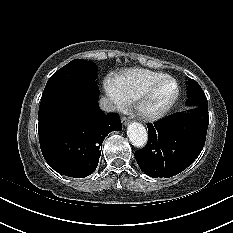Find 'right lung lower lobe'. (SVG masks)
<instances>
[{"instance_id":"1","label":"right lung lower lobe","mask_w":233,"mask_h":233,"mask_svg":"<svg viewBox=\"0 0 233 233\" xmlns=\"http://www.w3.org/2000/svg\"><path fill=\"white\" fill-rule=\"evenodd\" d=\"M115 130H122L119 115H105L98 94L83 90L77 95L73 115H56L38 123L45 160L58 173L73 178L95 171L103 139Z\"/></svg>"}]
</instances>
